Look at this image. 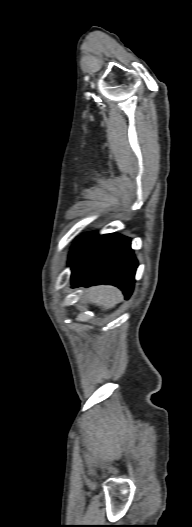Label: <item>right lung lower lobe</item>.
Masks as SVG:
<instances>
[{
    "label": "right lung lower lobe",
    "mask_w": 192,
    "mask_h": 527,
    "mask_svg": "<svg viewBox=\"0 0 192 527\" xmlns=\"http://www.w3.org/2000/svg\"><path fill=\"white\" fill-rule=\"evenodd\" d=\"M137 264L129 238L119 234H86L75 242L69 256L72 287L112 284L128 299Z\"/></svg>",
    "instance_id": "98d812e1"
}]
</instances>
